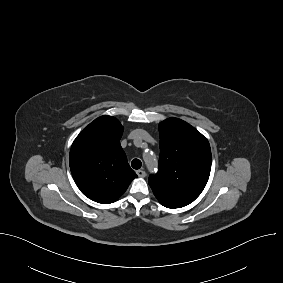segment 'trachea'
<instances>
[{"label":"trachea","mask_w":283,"mask_h":283,"mask_svg":"<svg viewBox=\"0 0 283 283\" xmlns=\"http://www.w3.org/2000/svg\"><path fill=\"white\" fill-rule=\"evenodd\" d=\"M131 166L133 169H140L141 166H142V163L139 159H133L132 162H131Z\"/></svg>","instance_id":"trachea-1"}]
</instances>
